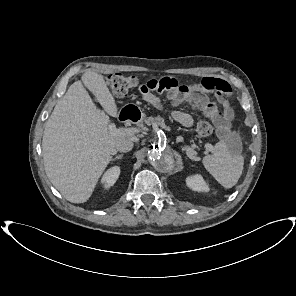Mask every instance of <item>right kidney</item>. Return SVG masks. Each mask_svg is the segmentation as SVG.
Instances as JSON below:
<instances>
[{"instance_id": "ca27d5eb", "label": "right kidney", "mask_w": 296, "mask_h": 296, "mask_svg": "<svg viewBox=\"0 0 296 296\" xmlns=\"http://www.w3.org/2000/svg\"><path fill=\"white\" fill-rule=\"evenodd\" d=\"M120 175V167L114 166L109 168L103 175L101 179V183L103 184L104 188H110L114 185L116 180Z\"/></svg>"}]
</instances>
